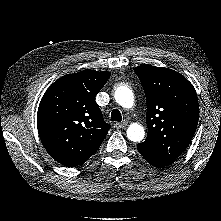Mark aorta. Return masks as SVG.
I'll return each mask as SVG.
<instances>
[{
  "label": "aorta",
  "instance_id": "1",
  "mask_svg": "<svg viewBox=\"0 0 221 221\" xmlns=\"http://www.w3.org/2000/svg\"><path fill=\"white\" fill-rule=\"evenodd\" d=\"M116 102L123 108H132L134 105V95L127 86H120L114 94ZM145 135L144 128L137 123H132L127 129V137L133 142H140Z\"/></svg>",
  "mask_w": 221,
  "mask_h": 221
}]
</instances>
